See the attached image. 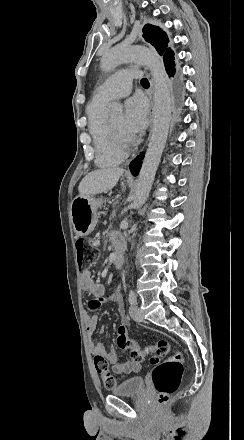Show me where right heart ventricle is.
I'll use <instances>...</instances> for the list:
<instances>
[{
  "mask_svg": "<svg viewBox=\"0 0 244 440\" xmlns=\"http://www.w3.org/2000/svg\"><path fill=\"white\" fill-rule=\"evenodd\" d=\"M107 104L108 102H94L93 99L86 108L88 129L96 146L95 162L100 168L115 167L125 158L122 143H118L117 147L114 145L116 142L112 141L113 132L106 126L104 114Z\"/></svg>",
  "mask_w": 244,
  "mask_h": 440,
  "instance_id": "1",
  "label": "right heart ventricle"
}]
</instances>
